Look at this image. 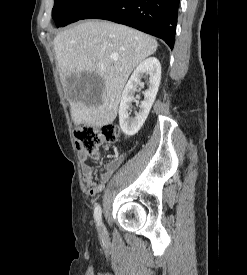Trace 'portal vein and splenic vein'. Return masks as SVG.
I'll return each mask as SVG.
<instances>
[{
	"mask_svg": "<svg viewBox=\"0 0 247 275\" xmlns=\"http://www.w3.org/2000/svg\"><path fill=\"white\" fill-rule=\"evenodd\" d=\"M104 69V67L103 66H101V70H103Z\"/></svg>",
	"mask_w": 247,
	"mask_h": 275,
	"instance_id": "obj_1",
	"label": "portal vein and splenic vein"
}]
</instances>
